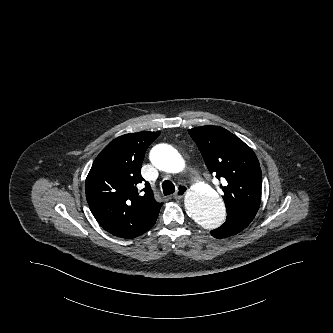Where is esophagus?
<instances>
[{"label": "esophagus", "instance_id": "obj_1", "mask_svg": "<svg viewBox=\"0 0 333 333\" xmlns=\"http://www.w3.org/2000/svg\"><path fill=\"white\" fill-rule=\"evenodd\" d=\"M188 188L187 186L180 184L178 186V189L176 191V193L173 195L174 199H182L184 197V195L187 193Z\"/></svg>", "mask_w": 333, "mask_h": 333}]
</instances>
